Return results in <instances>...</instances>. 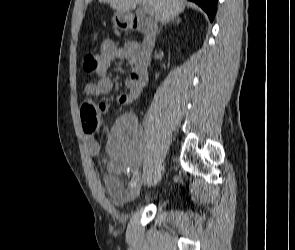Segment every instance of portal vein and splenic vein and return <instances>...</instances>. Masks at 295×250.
Segmentation results:
<instances>
[{"instance_id": "obj_1", "label": "portal vein and splenic vein", "mask_w": 295, "mask_h": 250, "mask_svg": "<svg viewBox=\"0 0 295 250\" xmlns=\"http://www.w3.org/2000/svg\"><path fill=\"white\" fill-rule=\"evenodd\" d=\"M143 8L145 10V12L149 15H152L153 14V10L150 6L146 5V4H143Z\"/></svg>"}]
</instances>
